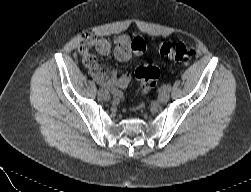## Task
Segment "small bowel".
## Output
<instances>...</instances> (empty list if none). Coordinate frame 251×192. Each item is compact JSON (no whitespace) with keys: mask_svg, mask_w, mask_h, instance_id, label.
<instances>
[{"mask_svg":"<svg viewBox=\"0 0 251 192\" xmlns=\"http://www.w3.org/2000/svg\"><path fill=\"white\" fill-rule=\"evenodd\" d=\"M93 49L104 57L112 55L117 61H126L133 54L143 53L146 49L145 42L141 38L131 39L126 35L118 36L113 43L107 37L93 34H86L82 40L79 53L84 66L98 84L120 99L121 90L125 89L131 81L130 75L117 76L113 68L100 65L91 52Z\"/></svg>","mask_w":251,"mask_h":192,"instance_id":"obj_1","label":"small bowel"}]
</instances>
